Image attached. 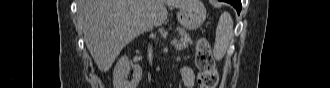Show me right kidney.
<instances>
[{
	"instance_id": "obj_1",
	"label": "right kidney",
	"mask_w": 330,
	"mask_h": 88,
	"mask_svg": "<svg viewBox=\"0 0 330 88\" xmlns=\"http://www.w3.org/2000/svg\"><path fill=\"white\" fill-rule=\"evenodd\" d=\"M133 69V78L131 81L126 79ZM142 76V68L138 64H130L126 55L122 56L113 71V86L114 88H136Z\"/></svg>"
}]
</instances>
